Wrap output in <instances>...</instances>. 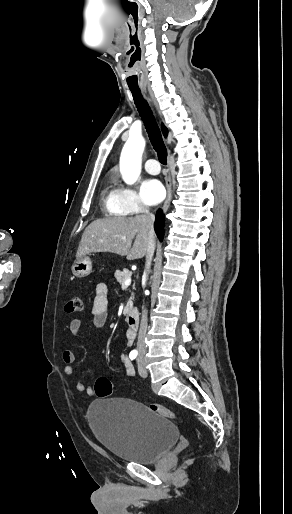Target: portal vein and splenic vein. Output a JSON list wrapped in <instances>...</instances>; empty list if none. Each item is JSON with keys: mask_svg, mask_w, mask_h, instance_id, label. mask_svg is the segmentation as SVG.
Masks as SVG:
<instances>
[{"mask_svg": "<svg viewBox=\"0 0 292 514\" xmlns=\"http://www.w3.org/2000/svg\"><path fill=\"white\" fill-rule=\"evenodd\" d=\"M130 284H131V278H130V276H128L127 280H125V282H124V286H130Z\"/></svg>", "mask_w": 292, "mask_h": 514, "instance_id": "1", "label": "portal vein and splenic vein"}]
</instances>
